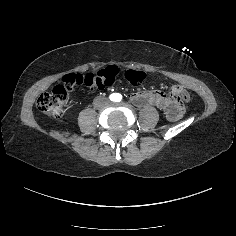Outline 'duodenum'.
<instances>
[{
    "instance_id": "1",
    "label": "duodenum",
    "mask_w": 236,
    "mask_h": 236,
    "mask_svg": "<svg viewBox=\"0 0 236 236\" xmlns=\"http://www.w3.org/2000/svg\"><path fill=\"white\" fill-rule=\"evenodd\" d=\"M138 106L154 104L162 109L170 120H176L182 113V105L176 98H165L157 93L141 92L132 97Z\"/></svg>"
}]
</instances>
